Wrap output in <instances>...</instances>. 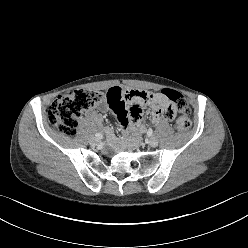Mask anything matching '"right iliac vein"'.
<instances>
[{"label":"right iliac vein","mask_w":248,"mask_h":248,"mask_svg":"<svg viewBox=\"0 0 248 248\" xmlns=\"http://www.w3.org/2000/svg\"><path fill=\"white\" fill-rule=\"evenodd\" d=\"M99 139L98 138H92L90 139V144L93 145V146H96L99 144Z\"/></svg>","instance_id":"1"}]
</instances>
